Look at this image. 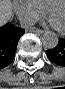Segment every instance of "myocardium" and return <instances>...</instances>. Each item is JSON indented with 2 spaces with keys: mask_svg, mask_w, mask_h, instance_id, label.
Here are the masks:
<instances>
[{
  "mask_svg": "<svg viewBox=\"0 0 65 89\" xmlns=\"http://www.w3.org/2000/svg\"><path fill=\"white\" fill-rule=\"evenodd\" d=\"M59 4H61V5H63V6L65 7V1H63V0H54V1L49 2V3L46 5V12L49 14V7H50L51 5H59ZM63 30H64V29H61L62 32H63Z\"/></svg>",
  "mask_w": 65,
  "mask_h": 89,
  "instance_id": "f54148a6",
  "label": "myocardium"
}]
</instances>
